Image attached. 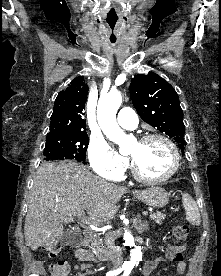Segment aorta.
Here are the masks:
<instances>
[{
  "instance_id": "aorta-1",
  "label": "aorta",
  "mask_w": 221,
  "mask_h": 276,
  "mask_svg": "<svg viewBox=\"0 0 221 276\" xmlns=\"http://www.w3.org/2000/svg\"><path fill=\"white\" fill-rule=\"evenodd\" d=\"M121 103V93L115 91L101 96L97 106V120L103 133L109 140L118 144L120 147L125 144L127 137L116 121V114ZM124 240L125 245L131 247V258L127 263L134 266L136 262L142 259L141 248L135 246L134 238L130 232L126 231L124 233Z\"/></svg>"
}]
</instances>
